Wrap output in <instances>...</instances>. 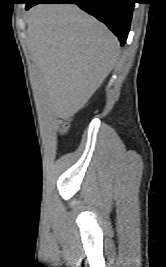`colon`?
Masks as SVG:
<instances>
[{
  "label": "colon",
  "instance_id": "5ec220e1",
  "mask_svg": "<svg viewBox=\"0 0 166 267\" xmlns=\"http://www.w3.org/2000/svg\"><path fill=\"white\" fill-rule=\"evenodd\" d=\"M60 132L62 134H65L68 131L69 128V124H68V118H64L61 122H60Z\"/></svg>",
  "mask_w": 166,
  "mask_h": 267
}]
</instances>
